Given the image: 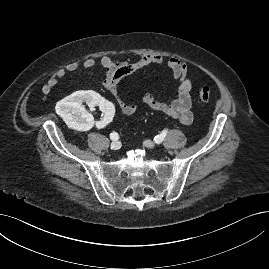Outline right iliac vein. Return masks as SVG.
Segmentation results:
<instances>
[{
    "label": "right iliac vein",
    "instance_id": "obj_1",
    "mask_svg": "<svg viewBox=\"0 0 269 269\" xmlns=\"http://www.w3.org/2000/svg\"><path fill=\"white\" fill-rule=\"evenodd\" d=\"M121 148V143L119 141H113L111 143L112 150H119Z\"/></svg>",
    "mask_w": 269,
    "mask_h": 269
}]
</instances>
